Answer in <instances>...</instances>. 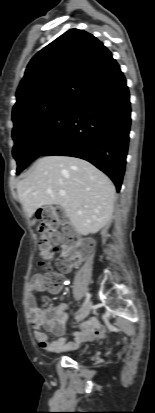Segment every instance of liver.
<instances>
[{
    "instance_id": "6515ba94",
    "label": "liver",
    "mask_w": 155,
    "mask_h": 413,
    "mask_svg": "<svg viewBox=\"0 0 155 413\" xmlns=\"http://www.w3.org/2000/svg\"><path fill=\"white\" fill-rule=\"evenodd\" d=\"M66 191L65 196L59 192ZM28 217L45 205L61 206L76 231L97 233L113 213L115 187L95 166L80 158L46 156L33 165L17 186Z\"/></svg>"
}]
</instances>
